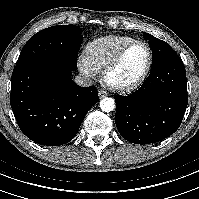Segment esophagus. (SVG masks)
<instances>
[{
  "mask_svg": "<svg viewBox=\"0 0 199 199\" xmlns=\"http://www.w3.org/2000/svg\"><path fill=\"white\" fill-rule=\"evenodd\" d=\"M108 95V93L106 92V91H104V90H99L98 91V96H99V98H104V97H106Z\"/></svg>",
  "mask_w": 199,
  "mask_h": 199,
  "instance_id": "34e87169",
  "label": "esophagus"
}]
</instances>
